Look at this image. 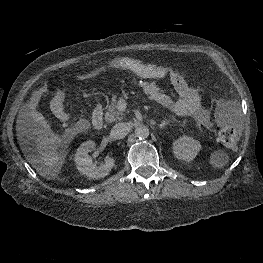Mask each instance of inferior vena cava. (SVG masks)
<instances>
[{"instance_id": "obj_1", "label": "inferior vena cava", "mask_w": 263, "mask_h": 263, "mask_svg": "<svg viewBox=\"0 0 263 263\" xmlns=\"http://www.w3.org/2000/svg\"><path fill=\"white\" fill-rule=\"evenodd\" d=\"M129 132V127L126 123H118L113 126L111 130V136L114 139H122L124 138Z\"/></svg>"}]
</instances>
